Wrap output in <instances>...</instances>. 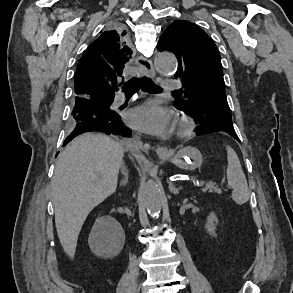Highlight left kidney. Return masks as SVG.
Instances as JSON below:
<instances>
[{"mask_svg":"<svg viewBox=\"0 0 293 293\" xmlns=\"http://www.w3.org/2000/svg\"><path fill=\"white\" fill-rule=\"evenodd\" d=\"M218 223V218L214 212H211L205 224V229L209 235H215L216 225Z\"/></svg>","mask_w":293,"mask_h":293,"instance_id":"left-kidney-1","label":"left kidney"}]
</instances>
